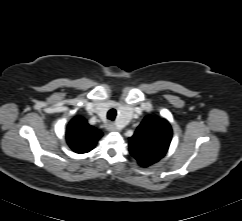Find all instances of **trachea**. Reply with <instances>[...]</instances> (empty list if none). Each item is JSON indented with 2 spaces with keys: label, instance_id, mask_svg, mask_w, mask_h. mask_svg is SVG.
Listing matches in <instances>:
<instances>
[{
  "label": "trachea",
  "instance_id": "obj_1",
  "mask_svg": "<svg viewBox=\"0 0 242 221\" xmlns=\"http://www.w3.org/2000/svg\"><path fill=\"white\" fill-rule=\"evenodd\" d=\"M116 115H117V111L115 109H110L107 113V118L111 121L115 120L116 118Z\"/></svg>",
  "mask_w": 242,
  "mask_h": 221
}]
</instances>
